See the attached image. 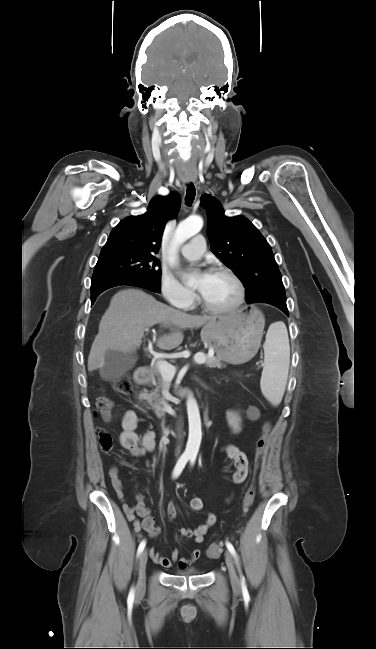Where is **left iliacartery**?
<instances>
[{
  "label": "left iliac artery",
  "instance_id": "44dca946",
  "mask_svg": "<svg viewBox=\"0 0 376 649\" xmlns=\"http://www.w3.org/2000/svg\"><path fill=\"white\" fill-rule=\"evenodd\" d=\"M195 459H196V457L194 455L190 457L191 464H194ZM226 546H227L228 550L230 551V553L236 558V551H235L233 545L230 542L227 541ZM241 582H242V589H243V591L246 592L247 588H246L245 579H244L243 576H241Z\"/></svg>",
  "mask_w": 376,
  "mask_h": 649
}]
</instances>
